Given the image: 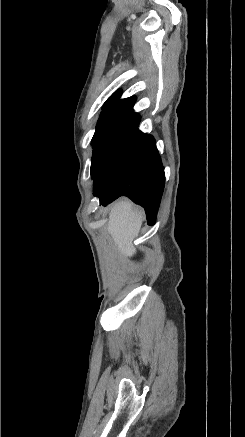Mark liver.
<instances>
[{
	"instance_id": "obj_1",
	"label": "liver",
	"mask_w": 245,
	"mask_h": 437,
	"mask_svg": "<svg viewBox=\"0 0 245 437\" xmlns=\"http://www.w3.org/2000/svg\"><path fill=\"white\" fill-rule=\"evenodd\" d=\"M142 225V212L134 209L127 200L117 202L109 213L108 233L124 257L136 253L133 240L138 236Z\"/></svg>"
}]
</instances>
